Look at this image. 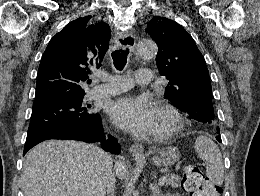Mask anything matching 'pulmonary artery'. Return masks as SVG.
I'll list each match as a JSON object with an SVG mask.
<instances>
[{
	"label": "pulmonary artery",
	"instance_id": "e3ab8cb5",
	"mask_svg": "<svg viewBox=\"0 0 260 196\" xmlns=\"http://www.w3.org/2000/svg\"><path fill=\"white\" fill-rule=\"evenodd\" d=\"M139 79L137 80L138 84H151L152 77H154V72L152 69H139ZM136 72H130L129 76H115L113 81H109V85H100L90 89L87 93L88 99H97L102 97H109L117 93H121L125 90H132V85H123L129 84L131 77H136Z\"/></svg>",
	"mask_w": 260,
	"mask_h": 196
}]
</instances>
